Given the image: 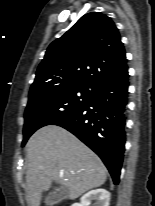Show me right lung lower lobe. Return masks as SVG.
<instances>
[{"mask_svg":"<svg viewBox=\"0 0 155 206\" xmlns=\"http://www.w3.org/2000/svg\"><path fill=\"white\" fill-rule=\"evenodd\" d=\"M128 79L126 70L96 89L82 108L53 124L67 129L91 148L108 168L115 184L119 183L125 149Z\"/></svg>","mask_w":155,"mask_h":206,"instance_id":"98d812e1","label":"right lung lower lobe"}]
</instances>
